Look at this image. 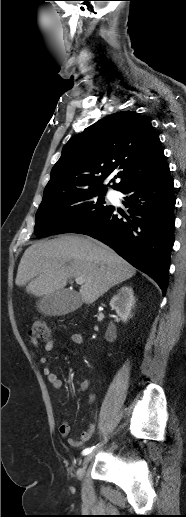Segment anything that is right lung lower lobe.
<instances>
[{
	"mask_svg": "<svg viewBox=\"0 0 186 517\" xmlns=\"http://www.w3.org/2000/svg\"><path fill=\"white\" fill-rule=\"evenodd\" d=\"M128 207L124 218L111 207L72 233L89 235L114 249L154 279L165 294L174 244V186L168 164L122 190Z\"/></svg>",
	"mask_w": 186,
	"mask_h": 517,
	"instance_id": "obj_1",
	"label": "right lung lower lobe"
}]
</instances>
